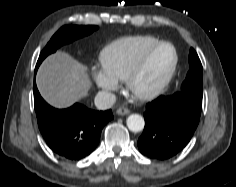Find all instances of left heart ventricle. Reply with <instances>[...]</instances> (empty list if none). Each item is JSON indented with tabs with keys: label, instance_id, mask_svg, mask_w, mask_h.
<instances>
[{
	"label": "left heart ventricle",
	"instance_id": "1",
	"mask_svg": "<svg viewBox=\"0 0 236 187\" xmlns=\"http://www.w3.org/2000/svg\"><path fill=\"white\" fill-rule=\"evenodd\" d=\"M173 61V51L168 46L156 50L137 78L134 87L138 91H149L156 87L166 75Z\"/></svg>",
	"mask_w": 236,
	"mask_h": 187
}]
</instances>
